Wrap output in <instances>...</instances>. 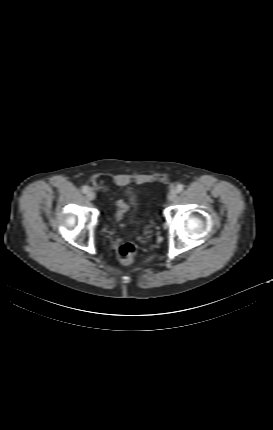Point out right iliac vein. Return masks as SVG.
<instances>
[{
	"instance_id": "obj_1",
	"label": "right iliac vein",
	"mask_w": 273,
	"mask_h": 430,
	"mask_svg": "<svg viewBox=\"0 0 273 430\" xmlns=\"http://www.w3.org/2000/svg\"><path fill=\"white\" fill-rule=\"evenodd\" d=\"M86 197L88 200H94L95 199V193L91 190H89L86 194Z\"/></svg>"
}]
</instances>
